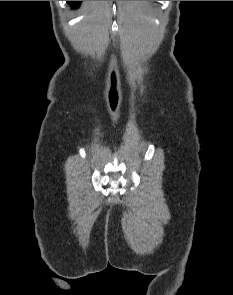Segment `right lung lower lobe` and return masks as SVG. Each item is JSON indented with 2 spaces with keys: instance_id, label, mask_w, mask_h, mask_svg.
Masks as SVG:
<instances>
[{
  "instance_id": "right-lung-lower-lobe-1",
  "label": "right lung lower lobe",
  "mask_w": 233,
  "mask_h": 295,
  "mask_svg": "<svg viewBox=\"0 0 233 295\" xmlns=\"http://www.w3.org/2000/svg\"><path fill=\"white\" fill-rule=\"evenodd\" d=\"M81 1H68V3H70L72 6H78L80 4Z\"/></svg>"
}]
</instances>
